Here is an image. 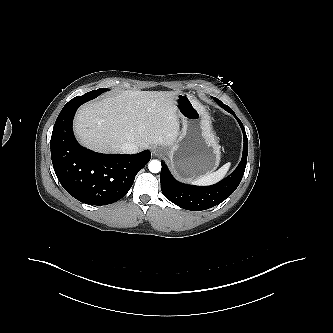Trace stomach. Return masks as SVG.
<instances>
[{"label":"stomach","instance_id":"obj_1","mask_svg":"<svg viewBox=\"0 0 333 333\" xmlns=\"http://www.w3.org/2000/svg\"><path fill=\"white\" fill-rule=\"evenodd\" d=\"M175 105L182 131L168 150L169 162L178 178L191 181L217 169L220 146L211 117L201 103L188 93H179Z\"/></svg>","mask_w":333,"mask_h":333}]
</instances>
